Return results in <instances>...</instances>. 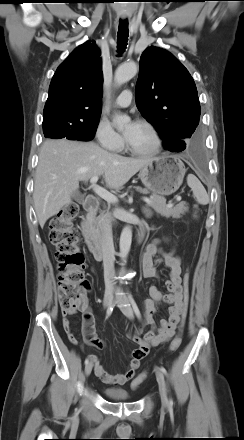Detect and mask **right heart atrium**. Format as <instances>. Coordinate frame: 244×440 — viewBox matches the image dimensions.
Listing matches in <instances>:
<instances>
[{"label":"right heart atrium","mask_w":244,"mask_h":440,"mask_svg":"<svg viewBox=\"0 0 244 440\" xmlns=\"http://www.w3.org/2000/svg\"><path fill=\"white\" fill-rule=\"evenodd\" d=\"M95 137L101 147L118 151L123 146L122 137L114 130L112 124L106 118H101L95 128Z\"/></svg>","instance_id":"right-heart-atrium-1"}]
</instances>
